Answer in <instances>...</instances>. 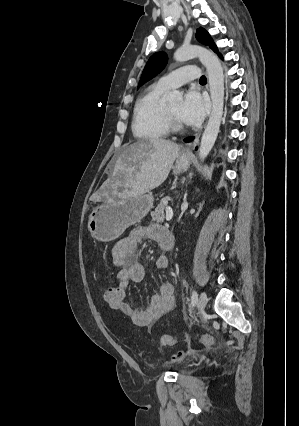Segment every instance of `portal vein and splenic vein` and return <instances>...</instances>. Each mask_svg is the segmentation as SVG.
Masks as SVG:
<instances>
[{
	"label": "portal vein and splenic vein",
	"mask_w": 299,
	"mask_h": 426,
	"mask_svg": "<svg viewBox=\"0 0 299 426\" xmlns=\"http://www.w3.org/2000/svg\"><path fill=\"white\" fill-rule=\"evenodd\" d=\"M173 212L170 207L166 208V221H170L172 219Z\"/></svg>",
	"instance_id": "1"
}]
</instances>
